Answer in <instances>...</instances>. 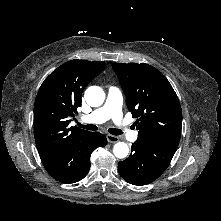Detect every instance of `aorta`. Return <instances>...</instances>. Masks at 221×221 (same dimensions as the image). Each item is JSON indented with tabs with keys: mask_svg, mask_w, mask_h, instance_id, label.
<instances>
[{
	"mask_svg": "<svg viewBox=\"0 0 221 221\" xmlns=\"http://www.w3.org/2000/svg\"><path fill=\"white\" fill-rule=\"evenodd\" d=\"M85 100L92 107L101 106L105 99V93L101 87L90 86L85 91ZM113 153L117 158H125L129 153V147L124 142H118L113 147Z\"/></svg>",
	"mask_w": 221,
	"mask_h": 221,
	"instance_id": "1",
	"label": "aorta"
}]
</instances>
